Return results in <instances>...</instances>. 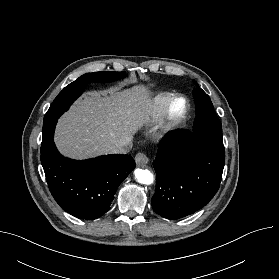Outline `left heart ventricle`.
I'll return each instance as SVG.
<instances>
[{
    "mask_svg": "<svg viewBox=\"0 0 279 279\" xmlns=\"http://www.w3.org/2000/svg\"><path fill=\"white\" fill-rule=\"evenodd\" d=\"M184 108V103L182 100H178L174 103L173 107H172V114L173 115H178L182 112Z\"/></svg>",
    "mask_w": 279,
    "mask_h": 279,
    "instance_id": "b2bd125f",
    "label": "left heart ventricle"
}]
</instances>
